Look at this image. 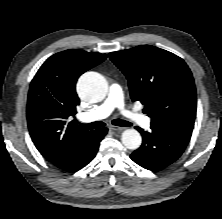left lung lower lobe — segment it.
I'll use <instances>...</instances> for the list:
<instances>
[{"mask_svg": "<svg viewBox=\"0 0 222 219\" xmlns=\"http://www.w3.org/2000/svg\"><path fill=\"white\" fill-rule=\"evenodd\" d=\"M141 133L143 142L130 158L145 169L156 171L176 161L184 152L189 140L168 130L151 126L146 132L136 127Z\"/></svg>", "mask_w": 222, "mask_h": 219, "instance_id": "left-lung-lower-lobe-1", "label": "left lung lower lobe"}]
</instances>
